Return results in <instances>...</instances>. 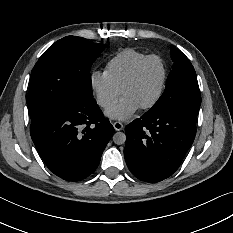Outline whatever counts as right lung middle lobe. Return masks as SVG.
I'll use <instances>...</instances> for the list:
<instances>
[{"instance_id": "1", "label": "right lung middle lobe", "mask_w": 233, "mask_h": 233, "mask_svg": "<svg viewBox=\"0 0 233 233\" xmlns=\"http://www.w3.org/2000/svg\"><path fill=\"white\" fill-rule=\"evenodd\" d=\"M104 47L76 36L50 46L31 72L27 98L31 120L55 113L77 97H93L90 68Z\"/></svg>"}]
</instances>
